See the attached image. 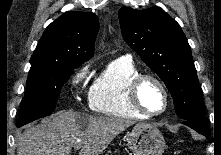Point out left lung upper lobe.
Masks as SVG:
<instances>
[{
    "label": "left lung upper lobe",
    "mask_w": 221,
    "mask_h": 155,
    "mask_svg": "<svg viewBox=\"0 0 221 155\" xmlns=\"http://www.w3.org/2000/svg\"><path fill=\"white\" fill-rule=\"evenodd\" d=\"M119 19L124 40L165 82L176 114L183 121L205 122L202 89L179 24L159 7L141 11L122 7Z\"/></svg>",
    "instance_id": "left-lung-upper-lobe-1"
}]
</instances>
